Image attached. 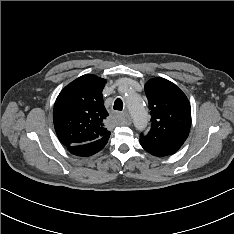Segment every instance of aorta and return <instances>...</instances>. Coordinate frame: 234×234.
Here are the masks:
<instances>
[{"label": "aorta", "mask_w": 234, "mask_h": 234, "mask_svg": "<svg viewBox=\"0 0 234 234\" xmlns=\"http://www.w3.org/2000/svg\"><path fill=\"white\" fill-rule=\"evenodd\" d=\"M125 99L136 129L144 130L147 127L149 116L143 99L140 95L131 92H128Z\"/></svg>", "instance_id": "1"}]
</instances>
